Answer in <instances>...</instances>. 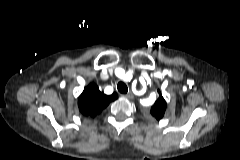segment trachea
<instances>
[{
  "label": "trachea",
  "instance_id": "3493384b",
  "mask_svg": "<svg viewBox=\"0 0 240 160\" xmlns=\"http://www.w3.org/2000/svg\"><path fill=\"white\" fill-rule=\"evenodd\" d=\"M117 89L121 94H126L128 91L127 85L124 82H119L117 84Z\"/></svg>",
  "mask_w": 240,
  "mask_h": 160
}]
</instances>
